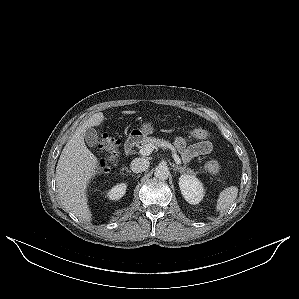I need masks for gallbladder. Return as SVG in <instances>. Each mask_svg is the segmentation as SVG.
I'll return each mask as SVG.
<instances>
[{
	"label": "gallbladder",
	"mask_w": 299,
	"mask_h": 299,
	"mask_svg": "<svg viewBox=\"0 0 299 299\" xmlns=\"http://www.w3.org/2000/svg\"><path fill=\"white\" fill-rule=\"evenodd\" d=\"M84 138L90 148H95L98 145V134L94 128H86L84 131Z\"/></svg>",
	"instance_id": "bac80fb5"
}]
</instances>
